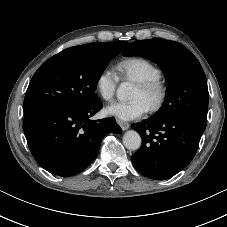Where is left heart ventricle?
I'll use <instances>...</instances> for the list:
<instances>
[{
	"label": "left heart ventricle",
	"mask_w": 227,
	"mask_h": 227,
	"mask_svg": "<svg viewBox=\"0 0 227 227\" xmlns=\"http://www.w3.org/2000/svg\"><path fill=\"white\" fill-rule=\"evenodd\" d=\"M133 99H142L146 105L148 106L149 104V98L145 95V93L142 91V89L136 85L133 96Z\"/></svg>",
	"instance_id": "1"
}]
</instances>
